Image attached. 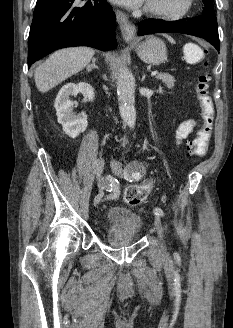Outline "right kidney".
Returning <instances> with one entry per match:
<instances>
[{
	"label": "right kidney",
	"instance_id": "obj_1",
	"mask_svg": "<svg viewBox=\"0 0 233 328\" xmlns=\"http://www.w3.org/2000/svg\"><path fill=\"white\" fill-rule=\"evenodd\" d=\"M81 92L84 96V100L93 101L95 97L94 89L92 86L85 82L67 83L64 85L55 99L54 107L58 117V122L62 125L63 131L75 138L80 133L84 132L87 128V115L85 112H81L79 115L73 113V102L70 100V96H75Z\"/></svg>",
	"mask_w": 233,
	"mask_h": 328
}]
</instances>
